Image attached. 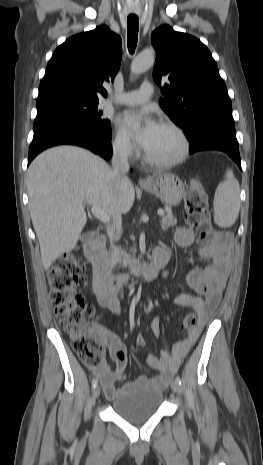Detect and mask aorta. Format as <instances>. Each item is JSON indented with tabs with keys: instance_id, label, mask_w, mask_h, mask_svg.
I'll return each instance as SVG.
<instances>
[{
	"instance_id": "aorta-1",
	"label": "aorta",
	"mask_w": 263,
	"mask_h": 465,
	"mask_svg": "<svg viewBox=\"0 0 263 465\" xmlns=\"http://www.w3.org/2000/svg\"><path fill=\"white\" fill-rule=\"evenodd\" d=\"M154 63L155 55L153 52H142L134 58L130 69L132 73L140 74L151 68Z\"/></svg>"
}]
</instances>
